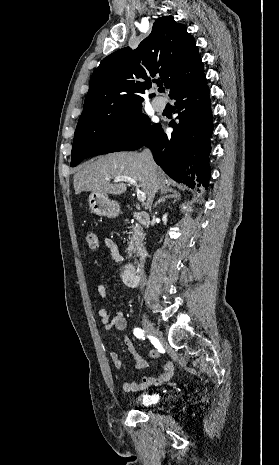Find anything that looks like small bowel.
Masks as SVG:
<instances>
[{
  "label": "small bowel",
  "mask_w": 279,
  "mask_h": 465,
  "mask_svg": "<svg viewBox=\"0 0 279 465\" xmlns=\"http://www.w3.org/2000/svg\"><path fill=\"white\" fill-rule=\"evenodd\" d=\"M104 243L112 259L115 262L121 264L118 276L122 278L123 280V276H124V272L126 268L131 267L132 265L128 263H124V258L119 251L117 243L113 239L106 238ZM97 294L101 299H107L108 297L107 286L105 284L98 285ZM98 314L104 325L105 330H111V329L124 330L127 327V320L122 311H118L114 314H111L108 309L102 308L99 310ZM124 342H125V345L127 347L129 354L131 355L133 359L134 367L137 370L146 369L149 366V360L155 359L159 356V353L157 350H151L147 357H142L138 354L134 343L129 337H125ZM109 357L114 367L117 369H120L122 366V360L119 357L118 353L115 351H110ZM173 373H174V365L171 361H167L163 366L162 372L158 376L156 377L144 376L140 382L125 381L122 384V389L125 392H136V391L147 389L151 386L161 385L167 382L168 380H170Z\"/></svg>",
  "instance_id": "obj_1"
}]
</instances>
